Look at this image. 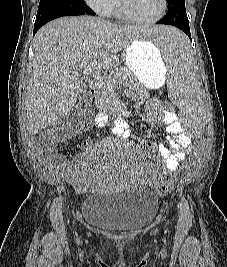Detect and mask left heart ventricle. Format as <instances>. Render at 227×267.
<instances>
[{"mask_svg":"<svg viewBox=\"0 0 227 267\" xmlns=\"http://www.w3.org/2000/svg\"><path fill=\"white\" fill-rule=\"evenodd\" d=\"M127 10L141 19H151L161 10V0H124Z\"/></svg>","mask_w":227,"mask_h":267,"instance_id":"b2bd125f","label":"left heart ventricle"}]
</instances>
